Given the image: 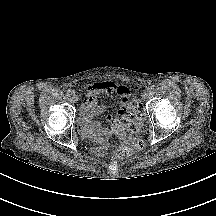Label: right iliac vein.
Wrapping results in <instances>:
<instances>
[{
	"mask_svg": "<svg viewBox=\"0 0 216 216\" xmlns=\"http://www.w3.org/2000/svg\"><path fill=\"white\" fill-rule=\"evenodd\" d=\"M71 98L73 101H78V96L75 93L71 94Z\"/></svg>",
	"mask_w": 216,
	"mask_h": 216,
	"instance_id": "right-iliac-vein-1",
	"label": "right iliac vein"
}]
</instances>
